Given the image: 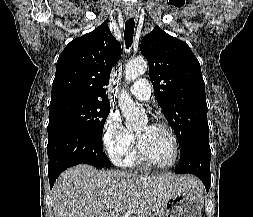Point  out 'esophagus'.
Listing matches in <instances>:
<instances>
[{
	"label": "esophagus",
	"mask_w": 253,
	"mask_h": 217,
	"mask_svg": "<svg viewBox=\"0 0 253 217\" xmlns=\"http://www.w3.org/2000/svg\"><path fill=\"white\" fill-rule=\"evenodd\" d=\"M126 15L128 18H132L135 15V10L134 9H128L126 12Z\"/></svg>",
	"instance_id": "1"
}]
</instances>
